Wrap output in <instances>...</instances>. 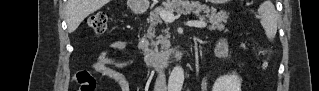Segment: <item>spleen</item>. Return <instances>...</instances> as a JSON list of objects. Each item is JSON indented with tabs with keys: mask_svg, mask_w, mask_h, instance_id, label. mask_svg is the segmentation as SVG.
I'll list each match as a JSON object with an SVG mask.
<instances>
[{
	"mask_svg": "<svg viewBox=\"0 0 319 91\" xmlns=\"http://www.w3.org/2000/svg\"><path fill=\"white\" fill-rule=\"evenodd\" d=\"M258 17L269 40H273L277 33L278 13L270 0L264 1L258 8Z\"/></svg>",
	"mask_w": 319,
	"mask_h": 91,
	"instance_id": "spleen-1",
	"label": "spleen"
}]
</instances>
